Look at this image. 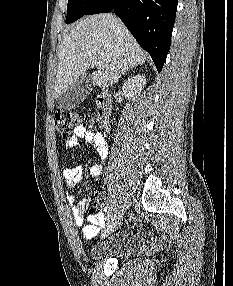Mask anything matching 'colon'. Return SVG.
I'll list each match as a JSON object with an SVG mask.
<instances>
[{
  "label": "colon",
  "instance_id": "5ec220e1",
  "mask_svg": "<svg viewBox=\"0 0 233 286\" xmlns=\"http://www.w3.org/2000/svg\"><path fill=\"white\" fill-rule=\"evenodd\" d=\"M54 123L61 136L69 139L79 125L86 128L94 127L95 118L90 113L82 110H58L55 113Z\"/></svg>",
  "mask_w": 233,
  "mask_h": 286
}]
</instances>
